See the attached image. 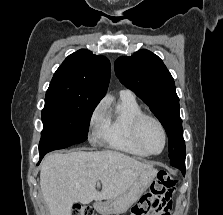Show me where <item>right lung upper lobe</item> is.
Returning a JSON list of instances; mask_svg holds the SVG:
<instances>
[{"instance_id":"obj_1","label":"right lung upper lobe","mask_w":223,"mask_h":215,"mask_svg":"<svg viewBox=\"0 0 223 215\" xmlns=\"http://www.w3.org/2000/svg\"><path fill=\"white\" fill-rule=\"evenodd\" d=\"M110 73L111 65L106 57L80 49L56 70L45 101L97 105L106 93Z\"/></svg>"}]
</instances>
